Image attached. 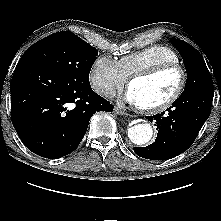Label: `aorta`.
Listing matches in <instances>:
<instances>
[{
    "mask_svg": "<svg viewBox=\"0 0 221 221\" xmlns=\"http://www.w3.org/2000/svg\"><path fill=\"white\" fill-rule=\"evenodd\" d=\"M153 136V129L149 123L136 124L128 128V137L136 145L148 143Z\"/></svg>",
    "mask_w": 221,
    "mask_h": 221,
    "instance_id": "obj_1",
    "label": "aorta"
}]
</instances>
